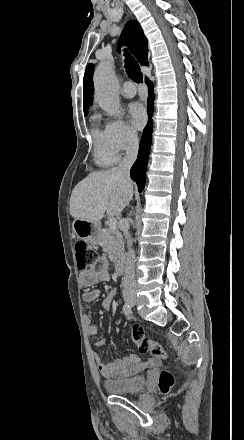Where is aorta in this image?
Wrapping results in <instances>:
<instances>
[{
  "instance_id": "obj_1",
  "label": "aorta",
  "mask_w": 244,
  "mask_h": 440,
  "mask_svg": "<svg viewBox=\"0 0 244 440\" xmlns=\"http://www.w3.org/2000/svg\"><path fill=\"white\" fill-rule=\"evenodd\" d=\"M95 100L109 115L118 116L120 113L119 84L111 66L101 62L94 72Z\"/></svg>"
}]
</instances>
